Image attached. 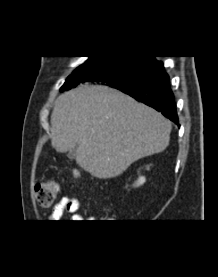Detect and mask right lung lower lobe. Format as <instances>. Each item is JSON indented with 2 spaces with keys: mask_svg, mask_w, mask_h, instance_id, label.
Masks as SVG:
<instances>
[{
  "mask_svg": "<svg viewBox=\"0 0 218 277\" xmlns=\"http://www.w3.org/2000/svg\"><path fill=\"white\" fill-rule=\"evenodd\" d=\"M87 81L101 82V79L98 74L89 73L83 76L80 83ZM115 88L160 111L178 124L174 95L170 89L163 63L155 61L146 72L134 81Z\"/></svg>",
  "mask_w": 218,
  "mask_h": 277,
  "instance_id": "1",
  "label": "right lung lower lobe"
}]
</instances>
